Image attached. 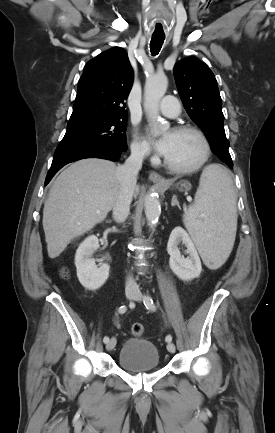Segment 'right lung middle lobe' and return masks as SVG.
Returning <instances> with one entry per match:
<instances>
[{"mask_svg":"<svg viewBox=\"0 0 275 433\" xmlns=\"http://www.w3.org/2000/svg\"><path fill=\"white\" fill-rule=\"evenodd\" d=\"M127 117L85 116L72 118L55 152L112 146L127 149Z\"/></svg>","mask_w":275,"mask_h":433,"instance_id":"1","label":"right lung middle lobe"}]
</instances>
